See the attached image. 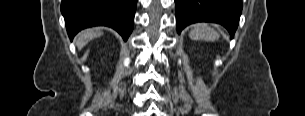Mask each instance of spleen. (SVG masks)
<instances>
[{
    "instance_id": "obj_1",
    "label": "spleen",
    "mask_w": 305,
    "mask_h": 116,
    "mask_svg": "<svg viewBox=\"0 0 305 116\" xmlns=\"http://www.w3.org/2000/svg\"><path fill=\"white\" fill-rule=\"evenodd\" d=\"M189 36L194 40L214 41L219 37V34L205 23H198L193 26Z\"/></svg>"
}]
</instances>
